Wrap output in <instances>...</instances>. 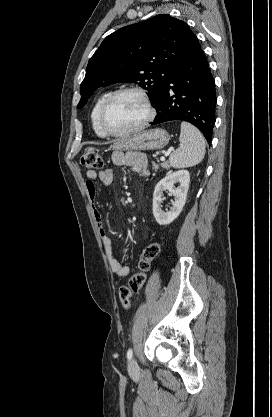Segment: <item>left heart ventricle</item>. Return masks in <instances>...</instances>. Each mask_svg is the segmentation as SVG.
<instances>
[{
	"label": "left heart ventricle",
	"mask_w": 272,
	"mask_h": 417,
	"mask_svg": "<svg viewBox=\"0 0 272 417\" xmlns=\"http://www.w3.org/2000/svg\"><path fill=\"white\" fill-rule=\"evenodd\" d=\"M146 117V109L141 99L133 94L117 97L105 114V125L113 132L127 131Z\"/></svg>",
	"instance_id": "obj_1"
}]
</instances>
